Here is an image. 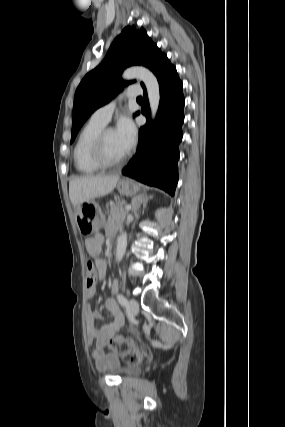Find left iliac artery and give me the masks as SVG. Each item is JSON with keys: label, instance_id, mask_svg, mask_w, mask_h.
I'll return each mask as SVG.
<instances>
[{"label": "left iliac artery", "instance_id": "44dca946", "mask_svg": "<svg viewBox=\"0 0 285 427\" xmlns=\"http://www.w3.org/2000/svg\"><path fill=\"white\" fill-rule=\"evenodd\" d=\"M118 302L122 305V306H127L128 301L126 299V297L123 294H118L117 296Z\"/></svg>", "mask_w": 285, "mask_h": 427}]
</instances>
